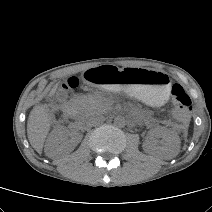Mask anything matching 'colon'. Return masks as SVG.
Segmentation results:
<instances>
[{
    "mask_svg": "<svg viewBox=\"0 0 212 212\" xmlns=\"http://www.w3.org/2000/svg\"><path fill=\"white\" fill-rule=\"evenodd\" d=\"M80 82L81 80L79 77H71L64 83L63 87L65 89H76L79 87ZM171 102L174 116L181 122L186 121L192 110V101L182 85H173L171 90Z\"/></svg>",
    "mask_w": 212,
    "mask_h": 212,
    "instance_id": "colon-1",
    "label": "colon"
}]
</instances>
